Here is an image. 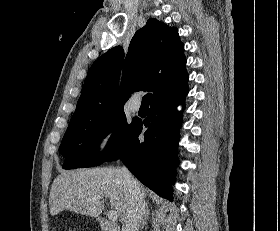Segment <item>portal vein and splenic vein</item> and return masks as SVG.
Masks as SVG:
<instances>
[{
    "label": "portal vein and splenic vein",
    "instance_id": "1",
    "mask_svg": "<svg viewBox=\"0 0 280 231\" xmlns=\"http://www.w3.org/2000/svg\"><path fill=\"white\" fill-rule=\"evenodd\" d=\"M107 215H108V219H110V221H116V219H118L117 211H108Z\"/></svg>",
    "mask_w": 280,
    "mask_h": 231
}]
</instances>
